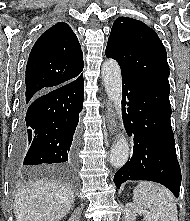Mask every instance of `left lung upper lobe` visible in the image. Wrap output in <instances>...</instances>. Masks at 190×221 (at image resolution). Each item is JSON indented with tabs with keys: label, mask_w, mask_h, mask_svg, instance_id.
Returning a JSON list of instances; mask_svg holds the SVG:
<instances>
[{
	"label": "left lung upper lobe",
	"mask_w": 190,
	"mask_h": 221,
	"mask_svg": "<svg viewBox=\"0 0 190 221\" xmlns=\"http://www.w3.org/2000/svg\"><path fill=\"white\" fill-rule=\"evenodd\" d=\"M105 54L119 63L122 76L170 88L166 49L145 23L128 17L116 19Z\"/></svg>",
	"instance_id": "5c2ea615"
}]
</instances>
